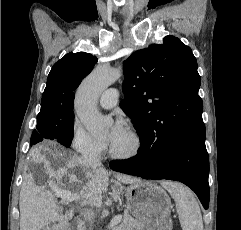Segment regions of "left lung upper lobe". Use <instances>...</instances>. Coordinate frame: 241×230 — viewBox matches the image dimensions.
Segmentation results:
<instances>
[{
    "mask_svg": "<svg viewBox=\"0 0 241 230\" xmlns=\"http://www.w3.org/2000/svg\"><path fill=\"white\" fill-rule=\"evenodd\" d=\"M163 41L124 61L120 107L134 123L140 142L205 139L196 58L177 37Z\"/></svg>",
    "mask_w": 241,
    "mask_h": 230,
    "instance_id": "obj_1",
    "label": "left lung upper lobe"
}]
</instances>
